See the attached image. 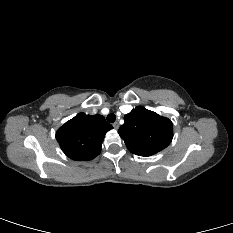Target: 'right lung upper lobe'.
Returning a JSON list of instances; mask_svg holds the SVG:
<instances>
[{
	"label": "right lung upper lobe",
	"instance_id": "cb5924a9",
	"mask_svg": "<svg viewBox=\"0 0 233 233\" xmlns=\"http://www.w3.org/2000/svg\"><path fill=\"white\" fill-rule=\"evenodd\" d=\"M101 115L79 113L56 132L62 151L73 160H92L101 151L105 134L112 129Z\"/></svg>",
	"mask_w": 233,
	"mask_h": 233
}]
</instances>
